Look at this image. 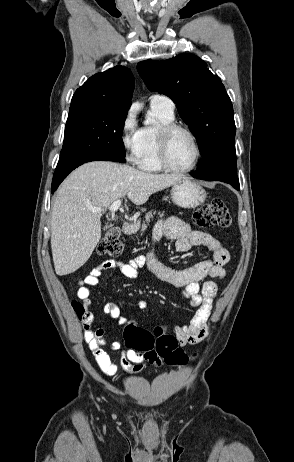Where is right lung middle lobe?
Instances as JSON below:
<instances>
[{
  "label": "right lung middle lobe",
  "instance_id": "right-lung-middle-lobe-1",
  "mask_svg": "<svg viewBox=\"0 0 294 462\" xmlns=\"http://www.w3.org/2000/svg\"><path fill=\"white\" fill-rule=\"evenodd\" d=\"M127 113L111 107L70 108L58 165L88 157L125 156L122 133Z\"/></svg>",
  "mask_w": 294,
  "mask_h": 462
}]
</instances>
